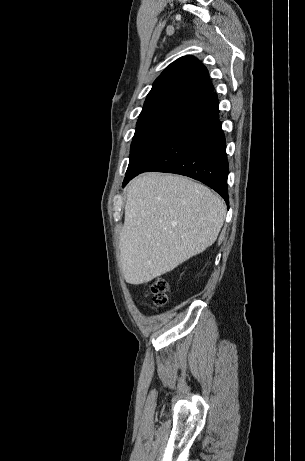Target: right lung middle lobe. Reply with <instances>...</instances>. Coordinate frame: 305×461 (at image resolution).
<instances>
[{
    "mask_svg": "<svg viewBox=\"0 0 305 461\" xmlns=\"http://www.w3.org/2000/svg\"><path fill=\"white\" fill-rule=\"evenodd\" d=\"M187 109V107L179 105L144 108L139 115L131 144L128 168L135 166L153 149Z\"/></svg>",
    "mask_w": 305,
    "mask_h": 461,
    "instance_id": "dd1d6c3e",
    "label": "right lung middle lobe"
}]
</instances>
